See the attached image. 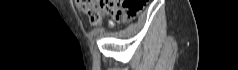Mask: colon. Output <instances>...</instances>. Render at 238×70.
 I'll return each mask as SVG.
<instances>
[{
  "instance_id": "obj_1",
  "label": "colon",
  "mask_w": 238,
  "mask_h": 70,
  "mask_svg": "<svg viewBox=\"0 0 238 70\" xmlns=\"http://www.w3.org/2000/svg\"><path fill=\"white\" fill-rule=\"evenodd\" d=\"M76 4L92 25H98L104 15L116 20H131L143 6L142 0H76Z\"/></svg>"
}]
</instances>
